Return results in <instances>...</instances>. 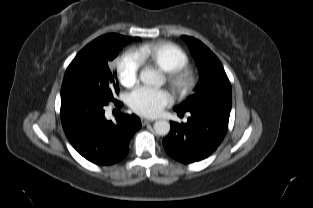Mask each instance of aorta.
<instances>
[{"label": "aorta", "instance_id": "obj_1", "mask_svg": "<svg viewBox=\"0 0 313 208\" xmlns=\"http://www.w3.org/2000/svg\"><path fill=\"white\" fill-rule=\"evenodd\" d=\"M139 78L141 82L147 85H161L162 77L160 73L150 67L141 70ZM154 130L160 136H166L170 132V123L166 120H159L154 123Z\"/></svg>", "mask_w": 313, "mask_h": 208}]
</instances>
